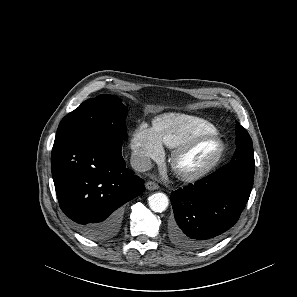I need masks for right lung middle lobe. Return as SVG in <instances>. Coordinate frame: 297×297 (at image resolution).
Here are the masks:
<instances>
[{
	"label": "right lung middle lobe",
	"mask_w": 297,
	"mask_h": 297,
	"mask_svg": "<svg viewBox=\"0 0 297 297\" xmlns=\"http://www.w3.org/2000/svg\"><path fill=\"white\" fill-rule=\"evenodd\" d=\"M121 99L105 94L83 102L60 122L55 141L90 135L109 133L122 142L125 137V117L127 115Z\"/></svg>",
	"instance_id": "1"
}]
</instances>
